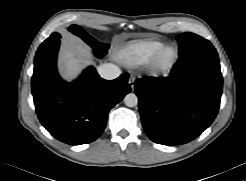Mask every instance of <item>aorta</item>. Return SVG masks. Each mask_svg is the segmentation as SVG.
Returning a JSON list of instances; mask_svg holds the SVG:
<instances>
[{
	"instance_id": "aorta-1",
	"label": "aorta",
	"mask_w": 246,
	"mask_h": 181,
	"mask_svg": "<svg viewBox=\"0 0 246 181\" xmlns=\"http://www.w3.org/2000/svg\"><path fill=\"white\" fill-rule=\"evenodd\" d=\"M124 104L127 107H135L138 104V98L134 93H129L124 97Z\"/></svg>"
}]
</instances>
